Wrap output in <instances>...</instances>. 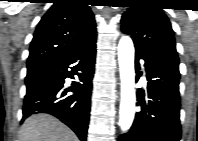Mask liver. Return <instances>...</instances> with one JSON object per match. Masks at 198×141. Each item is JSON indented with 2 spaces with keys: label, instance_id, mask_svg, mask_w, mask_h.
I'll return each instance as SVG.
<instances>
[{
  "label": "liver",
  "instance_id": "obj_1",
  "mask_svg": "<svg viewBox=\"0 0 198 141\" xmlns=\"http://www.w3.org/2000/svg\"><path fill=\"white\" fill-rule=\"evenodd\" d=\"M19 141H78V138L57 118L36 114L24 121L19 131Z\"/></svg>",
  "mask_w": 198,
  "mask_h": 141
}]
</instances>
